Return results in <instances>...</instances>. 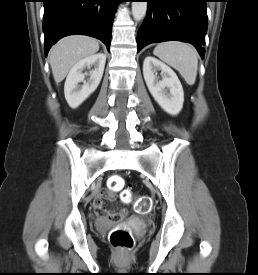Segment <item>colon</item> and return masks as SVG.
<instances>
[{
  "label": "colon",
  "instance_id": "5ec220e1",
  "mask_svg": "<svg viewBox=\"0 0 258 275\" xmlns=\"http://www.w3.org/2000/svg\"><path fill=\"white\" fill-rule=\"evenodd\" d=\"M124 186V179L121 176H112L109 180V188L111 191H120ZM121 199L124 202H129L132 199L130 191H123ZM135 209L140 214H146L151 209V200L147 196H142L138 199ZM124 215L123 212L111 213L109 212L108 218L119 219ZM110 243L123 251H130L135 245V238L131 230L125 226H116L109 233Z\"/></svg>",
  "mask_w": 258,
  "mask_h": 275
}]
</instances>
